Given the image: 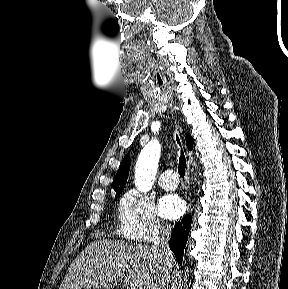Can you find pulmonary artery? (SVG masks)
I'll list each match as a JSON object with an SVG mask.
<instances>
[{
	"label": "pulmonary artery",
	"instance_id": "pulmonary-artery-1",
	"mask_svg": "<svg viewBox=\"0 0 288 289\" xmlns=\"http://www.w3.org/2000/svg\"><path fill=\"white\" fill-rule=\"evenodd\" d=\"M178 183V177L171 169L165 170L159 178V185L165 190H174Z\"/></svg>",
	"mask_w": 288,
	"mask_h": 289
}]
</instances>
